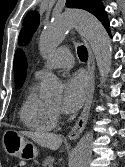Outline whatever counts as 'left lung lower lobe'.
<instances>
[{"label": "left lung lower lobe", "mask_w": 125, "mask_h": 167, "mask_svg": "<svg viewBox=\"0 0 125 167\" xmlns=\"http://www.w3.org/2000/svg\"><path fill=\"white\" fill-rule=\"evenodd\" d=\"M104 27L107 29L108 33L110 34V30H109V22H106L103 24Z\"/></svg>", "instance_id": "left-lung-lower-lobe-1"}]
</instances>
